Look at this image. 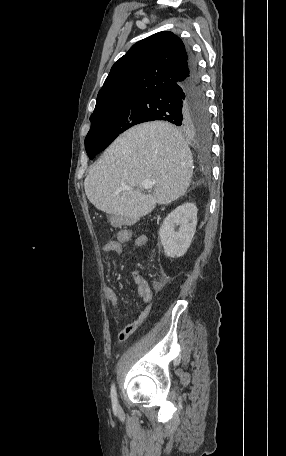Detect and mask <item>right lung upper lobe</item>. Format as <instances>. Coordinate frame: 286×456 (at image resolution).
I'll return each instance as SVG.
<instances>
[{
	"label": "right lung upper lobe",
	"mask_w": 286,
	"mask_h": 456,
	"mask_svg": "<svg viewBox=\"0 0 286 456\" xmlns=\"http://www.w3.org/2000/svg\"><path fill=\"white\" fill-rule=\"evenodd\" d=\"M188 51L172 32L153 34L136 44L111 68L100 89L95 110L157 89L187 76Z\"/></svg>",
	"instance_id": "cb5924a9"
}]
</instances>
